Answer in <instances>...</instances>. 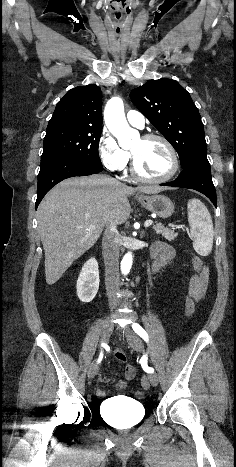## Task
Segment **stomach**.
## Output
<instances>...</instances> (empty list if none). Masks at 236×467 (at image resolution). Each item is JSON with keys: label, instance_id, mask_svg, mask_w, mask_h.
Wrapping results in <instances>:
<instances>
[{"label": "stomach", "instance_id": "obj_1", "mask_svg": "<svg viewBox=\"0 0 236 467\" xmlns=\"http://www.w3.org/2000/svg\"><path fill=\"white\" fill-rule=\"evenodd\" d=\"M138 201L145 209L160 218H168L174 213L173 202L164 195L140 196Z\"/></svg>", "mask_w": 236, "mask_h": 467}]
</instances>
